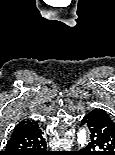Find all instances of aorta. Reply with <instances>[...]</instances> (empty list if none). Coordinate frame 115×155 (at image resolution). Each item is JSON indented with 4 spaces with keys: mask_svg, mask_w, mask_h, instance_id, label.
<instances>
[{
    "mask_svg": "<svg viewBox=\"0 0 115 155\" xmlns=\"http://www.w3.org/2000/svg\"><path fill=\"white\" fill-rule=\"evenodd\" d=\"M78 144L81 148H83L87 142V132L86 129H81L78 133V138H77Z\"/></svg>",
    "mask_w": 115,
    "mask_h": 155,
    "instance_id": "762f6f07",
    "label": "aorta"
}]
</instances>
